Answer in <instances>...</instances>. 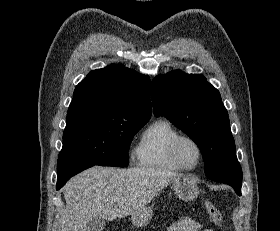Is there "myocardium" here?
I'll return each instance as SVG.
<instances>
[{"label": "myocardium", "mask_w": 280, "mask_h": 231, "mask_svg": "<svg viewBox=\"0 0 280 231\" xmlns=\"http://www.w3.org/2000/svg\"><path fill=\"white\" fill-rule=\"evenodd\" d=\"M184 139H189L191 141H193L198 150H199V153H200V160H199V163L198 165L193 168V169H189V168H186L185 166H183V164L181 163L179 157H178V146L180 144L181 141H183ZM170 157H171V160L183 171L185 172H195L197 170H199L202 165L204 164V161H205V151H204V148H203V145L201 144V142L191 136V135H188V134H179L174 140L173 142L171 143L170 145Z\"/></svg>", "instance_id": "obj_1"}]
</instances>
